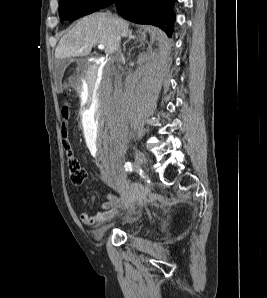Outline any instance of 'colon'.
Wrapping results in <instances>:
<instances>
[{"instance_id": "colon-1", "label": "colon", "mask_w": 267, "mask_h": 298, "mask_svg": "<svg viewBox=\"0 0 267 298\" xmlns=\"http://www.w3.org/2000/svg\"><path fill=\"white\" fill-rule=\"evenodd\" d=\"M64 146L66 151L68 152L67 165L70 181L73 185L80 186L85 182L87 178V172L80 163V161L71 154L70 145L68 141H65Z\"/></svg>"}]
</instances>
